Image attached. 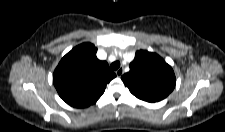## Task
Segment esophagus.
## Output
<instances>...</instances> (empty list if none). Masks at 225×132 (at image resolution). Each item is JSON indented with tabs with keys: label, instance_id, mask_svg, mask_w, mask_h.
<instances>
[{
	"label": "esophagus",
	"instance_id": "1",
	"mask_svg": "<svg viewBox=\"0 0 225 132\" xmlns=\"http://www.w3.org/2000/svg\"><path fill=\"white\" fill-rule=\"evenodd\" d=\"M115 73H116L117 77H121L124 73V70H123V68H119L116 70Z\"/></svg>",
	"mask_w": 225,
	"mask_h": 132
}]
</instances>
